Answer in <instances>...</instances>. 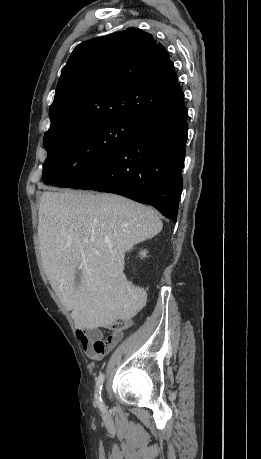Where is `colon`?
Listing matches in <instances>:
<instances>
[{
	"instance_id": "1",
	"label": "colon",
	"mask_w": 261,
	"mask_h": 459,
	"mask_svg": "<svg viewBox=\"0 0 261 459\" xmlns=\"http://www.w3.org/2000/svg\"><path fill=\"white\" fill-rule=\"evenodd\" d=\"M126 322L124 320H115L108 324V328L113 332L121 331L125 328Z\"/></svg>"
}]
</instances>
